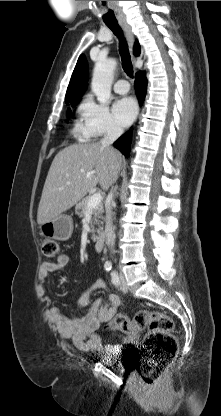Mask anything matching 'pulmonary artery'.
Returning a JSON list of instances; mask_svg holds the SVG:
<instances>
[{"instance_id":"1","label":"pulmonary artery","mask_w":221,"mask_h":416,"mask_svg":"<svg viewBox=\"0 0 221 416\" xmlns=\"http://www.w3.org/2000/svg\"><path fill=\"white\" fill-rule=\"evenodd\" d=\"M130 90L129 83L126 79H118L114 85V91L118 94H127Z\"/></svg>"}]
</instances>
